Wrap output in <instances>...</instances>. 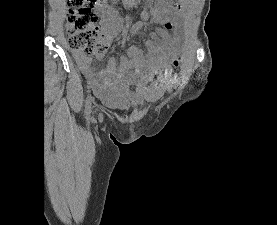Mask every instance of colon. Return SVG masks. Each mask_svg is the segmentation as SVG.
I'll return each mask as SVG.
<instances>
[{"mask_svg":"<svg viewBox=\"0 0 277 225\" xmlns=\"http://www.w3.org/2000/svg\"><path fill=\"white\" fill-rule=\"evenodd\" d=\"M102 0H68V44L76 55L101 54L107 44L97 26V11L103 9ZM180 59L175 60L176 66Z\"/></svg>","mask_w":277,"mask_h":225,"instance_id":"obj_1","label":"colon"}]
</instances>
